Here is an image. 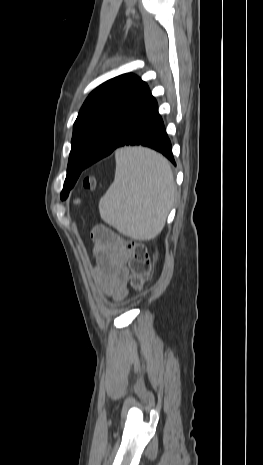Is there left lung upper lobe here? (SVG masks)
I'll list each match as a JSON object with an SVG mask.
<instances>
[{"label": "left lung upper lobe", "instance_id": "left-lung-upper-lobe-1", "mask_svg": "<svg viewBox=\"0 0 263 465\" xmlns=\"http://www.w3.org/2000/svg\"><path fill=\"white\" fill-rule=\"evenodd\" d=\"M144 85L139 77L123 74L101 84L85 100L73 127L62 200L68 197L102 133L115 116L136 98Z\"/></svg>", "mask_w": 263, "mask_h": 465}]
</instances>
